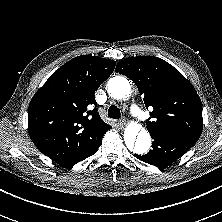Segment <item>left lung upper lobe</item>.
Returning a JSON list of instances; mask_svg holds the SVG:
<instances>
[{
  "mask_svg": "<svg viewBox=\"0 0 222 222\" xmlns=\"http://www.w3.org/2000/svg\"><path fill=\"white\" fill-rule=\"evenodd\" d=\"M116 72L129 77L152 106L148 131H174L195 138L203 129L202 104L191 83L172 65L154 56L129 57L119 61Z\"/></svg>",
  "mask_w": 222,
  "mask_h": 222,
  "instance_id": "left-lung-upper-lobe-1",
  "label": "left lung upper lobe"
}]
</instances>
